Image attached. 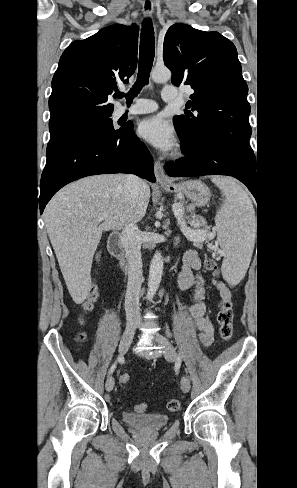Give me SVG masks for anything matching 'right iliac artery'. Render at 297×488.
I'll use <instances>...</instances> for the list:
<instances>
[{
    "instance_id": "82829eb1",
    "label": "right iliac artery",
    "mask_w": 297,
    "mask_h": 488,
    "mask_svg": "<svg viewBox=\"0 0 297 488\" xmlns=\"http://www.w3.org/2000/svg\"><path fill=\"white\" fill-rule=\"evenodd\" d=\"M122 359H123L122 356L118 357L117 361L111 366V368L109 370V374H111L114 371V369L116 368L117 362L121 361Z\"/></svg>"
}]
</instances>
